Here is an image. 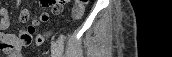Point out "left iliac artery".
<instances>
[{
    "instance_id": "1",
    "label": "left iliac artery",
    "mask_w": 172,
    "mask_h": 57,
    "mask_svg": "<svg viewBox=\"0 0 172 57\" xmlns=\"http://www.w3.org/2000/svg\"><path fill=\"white\" fill-rule=\"evenodd\" d=\"M58 44H59V53H60V57L63 54V49H64V39H63V35H60L58 38Z\"/></svg>"
}]
</instances>
